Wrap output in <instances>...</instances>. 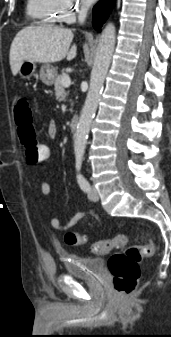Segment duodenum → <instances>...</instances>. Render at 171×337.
Listing matches in <instances>:
<instances>
[{"instance_id":"1","label":"duodenum","mask_w":171,"mask_h":337,"mask_svg":"<svg viewBox=\"0 0 171 337\" xmlns=\"http://www.w3.org/2000/svg\"><path fill=\"white\" fill-rule=\"evenodd\" d=\"M78 124H79V118L77 116H74L69 122L70 131L75 132L78 128Z\"/></svg>"}]
</instances>
